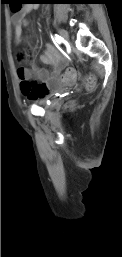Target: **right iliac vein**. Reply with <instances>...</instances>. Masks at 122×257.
I'll return each mask as SVG.
<instances>
[{
    "mask_svg": "<svg viewBox=\"0 0 122 257\" xmlns=\"http://www.w3.org/2000/svg\"><path fill=\"white\" fill-rule=\"evenodd\" d=\"M58 33H59V35H60L64 40H68V39H69V35H68L67 31H65L64 29H58Z\"/></svg>",
    "mask_w": 122,
    "mask_h": 257,
    "instance_id": "right-iliac-vein-1",
    "label": "right iliac vein"
}]
</instances>
